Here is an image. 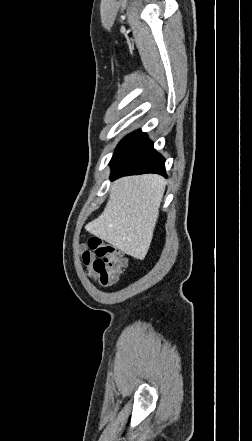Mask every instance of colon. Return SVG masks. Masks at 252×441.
<instances>
[{"mask_svg": "<svg viewBox=\"0 0 252 441\" xmlns=\"http://www.w3.org/2000/svg\"><path fill=\"white\" fill-rule=\"evenodd\" d=\"M82 260L89 274L104 286L115 284L127 265L119 249L97 237L88 240L87 249L82 252Z\"/></svg>", "mask_w": 252, "mask_h": 441, "instance_id": "5ec220e1", "label": "colon"}]
</instances>
